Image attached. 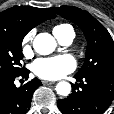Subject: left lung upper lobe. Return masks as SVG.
<instances>
[{"label": "left lung upper lobe", "mask_w": 114, "mask_h": 114, "mask_svg": "<svg viewBox=\"0 0 114 114\" xmlns=\"http://www.w3.org/2000/svg\"><path fill=\"white\" fill-rule=\"evenodd\" d=\"M51 9L78 25L86 37V58L77 75L114 76V42L107 29L91 14L80 8L61 6Z\"/></svg>", "instance_id": "left-lung-upper-lobe-1"}]
</instances>
